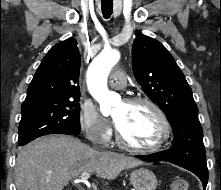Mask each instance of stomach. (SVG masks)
Here are the masks:
<instances>
[{"mask_svg":"<svg viewBox=\"0 0 221 190\" xmlns=\"http://www.w3.org/2000/svg\"><path fill=\"white\" fill-rule=\"evenodd\" d=\"M130 182L134 190H156L157 178L155 174L144 168L137 169L130 174Z\"/></svg>","mask_w":221,"mask_h":190,"instance_id":"stomach-1","label":"stomach"}]
</instances>
